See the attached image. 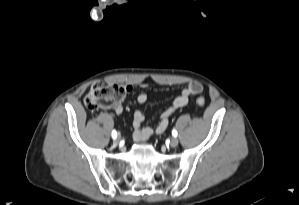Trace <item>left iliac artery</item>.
<instances>
[{"instance_id":"44dca946","label":"left iliac artery","mask_w":299,"mask_h":205,"mask_svg":"<svg viewBox=\"0 0 299 205\" xmlns=\"http://www.w3.org/2000/svg\"><path fill=\"white\" fill-rule=\"evenodd\" d=\"M172 135H173L174 137H177L178 133H177V131H176L175 129L172 130Z\"/></svg>"}]
</instances>
